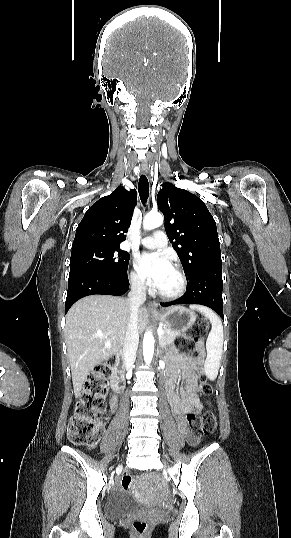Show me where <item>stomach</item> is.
<instances>
[{
    "label": "stomach",
    "mask_w": 291,
    "mask_h": 538,
    "mask_svg": "<svg viewBox=\"0 0 291 538\" xmlns=\"http://www.w3.org/2000/svg\"><path fill=\"white\" fill-rule=\"evenodd\" d=\"M157 317L165 328L178 333L185 332L196 321L195 313L182 306L170 308Z\"/></svg>",
    "instance_id": "0dacf381"
}]
</instances>
